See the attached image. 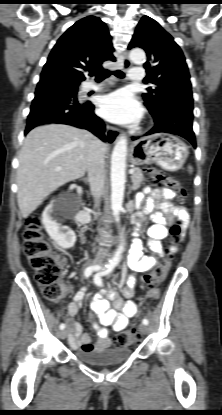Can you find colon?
<instances>
[{
  "mask_svg": "<svg viewBox=\"0 0 222 415\" xmlns=\"http://www.w3.org/2000/svg\"><path fill=\"white\" fill-rule=\"evenodd\" d=\"M148 174L153 182L172 189L181 198L185 197L180 183L156 169H149ZM182 226L175 224L171 227L170 233L174 240L182 234ZM24 252L28 256L31 267L36 272L37 282L43 286L46 299L50 301L60 300L66 287L60 281V273L65 261L53 252L50 243L42 232L41 219L38 215H31L26 219L24 232ZM172 252L167 254L151 271L143 276V285L148 289L150 297H157V288L166 277L172 262ZM139 339L137 330H128L121 333L115 342V346H123Z\"/></svg>",
  "mask_w": 222,
  "mask_h": 415,
  "instance_id": "colon-1",
  "label": "colon"
}]
</instances>
